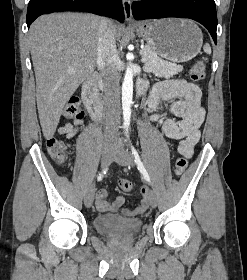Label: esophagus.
<instances>
[{"label": "esophagus", "instance_id": "obj_1", "mask_svg": "<svg viewBox=\"0 0 247 280\" xmlns=\"http://www.w3.org/2000/svg\"><path fill=\"white\" fill-rule=\"evenodd\" d=\"M123 8H124V14H125V20L127 22H132V3L131 0H123Z\"/></svg>", "mask_w": 247, "mask_h": 280}]
</instances>
